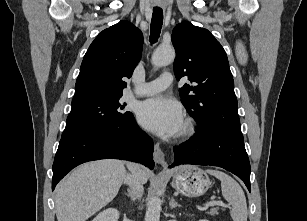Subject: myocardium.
Wrapping results in <instances>:
<instances>
[{"label": "myocardium", "instance_id": "obj_1", "mask_svg": "<svg viewBox=\"0 0 307 221\" xmlns=\"http://www.w3.org/2000/svg\"><path fill=\"white\" fill-rule=\"evenodd\" d=\"M195 132V124L191 118H187L183 124L182 130L180 132V136L182 138L190 137Z\"/></svg>", "mask_w": 307, "mask_h": 221}]
</instances>
